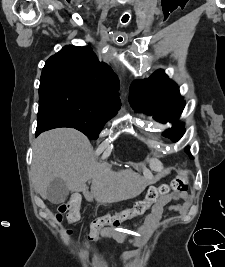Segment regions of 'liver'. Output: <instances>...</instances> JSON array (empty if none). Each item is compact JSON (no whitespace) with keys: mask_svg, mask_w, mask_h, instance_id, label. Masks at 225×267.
Listing matches in <instances>:
<instances>
[{"mask_svg":"<svg viewBox=\"0 0 225 267\" xmlns=\"http://www.w3.org/2000/svg\"><path fill=\"white\" fill-rule=\"evenodd\" d=\"M117 175L99 163L88 138L72 128H57L42 133L33 146L31 177L37 192L47 198V187L55 179L64 180L69 191L85 192L92 180L91 196L99 203H112L136 196L126 186L117 187Z\"/></svg>","mask_w":225,"mask_h":267,"instance_id":"1","label":"liver"}]
</instances>
